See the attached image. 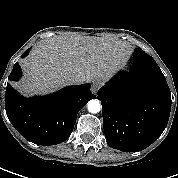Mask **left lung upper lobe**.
<instances>
[{"mask_svg":"<svg viewBox=\"0 0 178 178\" xmlns=\"http://www.w3.org/2000/svg\"><path fill=\"white\" fill-rule=\"evenodd\" d=\"M146 56H148V54H146L141 48H136L134 50L133 59Z\"/></svg>","mask_w":178,"mask_h":178,"instance_id":"obj_1","label":"left lung upper lobe"}]
</instances>
